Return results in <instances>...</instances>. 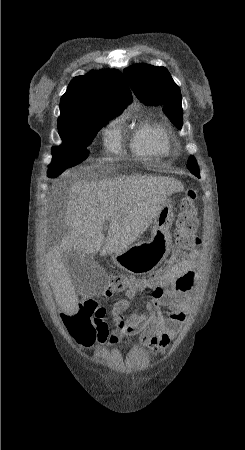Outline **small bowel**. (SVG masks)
Returning <instances> with one entry per match:
<instances>
[{"instance_id":"1","label":"small bowel","mask_w":245,"mask_h":450,"mask_svg":"<svg viewBox=\"0 0 245 450\" xmlns=\"http://www.w3.org/2000/svg\"><path fill=\"white\" fill-rule=\"evenodd\" d=\"M199 251L194 250L186 259L177 261L166 267L163 273L155 275L154 281L141 280L134 286L126 288V298L116 300L110 311V325L101 321L96 325V337L92 342H82L84 346L98 344H116L124 335L139 333L143 346L155 353L164 352L184 323L191 304L189 291L198 269ZM162 282L163 292L160 293ZM145 290L148 299L142 310H131L130 300L140 291ZM111 290L103 293V298H109ZM74 298H64L60 306L59 317L64 322L68 315L77 310Z\"/></svg>"}]
</instances>
